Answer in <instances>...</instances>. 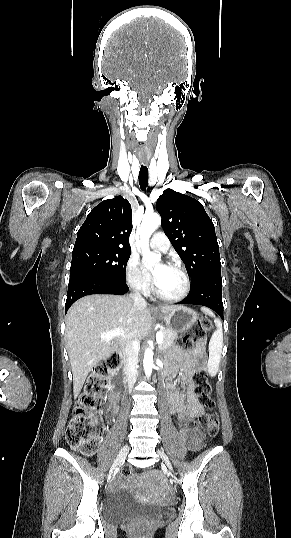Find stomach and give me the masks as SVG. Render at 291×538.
Here are the masks:
<instances>
[{"mask_svg":"<svg viewBox=\"0 0 291 538\" xmlns=\"http://www.w3.org/2000/svg\"><path fill=\"white\" fill-rule=\"evenodd\" d=\"M160 317L167 328L175 333L188 330L197 321L196 312L183 306H178Z\"/></svg>","mask_w":291,"mask_h":538,"instance_id":"1","label":"stomach"}]
</instances>
